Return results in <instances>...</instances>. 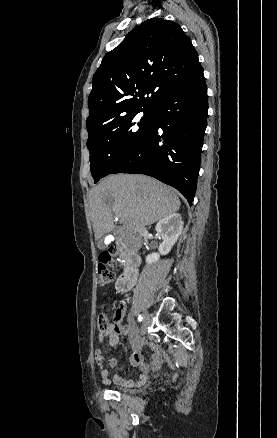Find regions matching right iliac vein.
<instances>
[{"label":"right iliac vein","mask_w":277,"mask_h":438,"mask_svg":"<svg viewBox=\"0 0 277 438\" xmlns=\"http://www.w3.org/2000/svg\"><path fill=\"white\" fill-rule=\"evenodd\" d=\"M143 325H142V335L146 333L147 328L149 327V325L151 324V318L148 312H144L143 313Z\"/></svg>","instance_id":"1"}]
</instances>
